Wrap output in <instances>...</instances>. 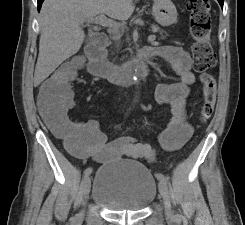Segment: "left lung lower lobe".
<instances>
[{"label":"left lung lower lobe","instance_id":"obj_1","mask_svg":"<svg viewBox=\"0 0 245 225\" xmlns=\"http://www.w3.org/2000/svg\"><path fill=\"white\" fill-rule=\"evenodd\" d=\"M220 6L223 8V3H224V0H218Z\"/></svg>","mask_w":245,"mask_h":225}]
</instances>
